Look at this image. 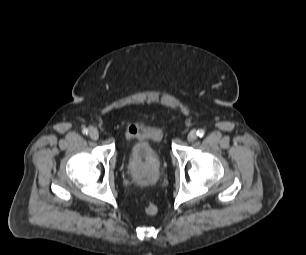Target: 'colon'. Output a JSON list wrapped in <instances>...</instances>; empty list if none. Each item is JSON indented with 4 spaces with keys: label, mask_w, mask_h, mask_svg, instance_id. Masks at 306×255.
<instances>
[{
    "label": "colon",
    "mask_w": 306,
    "mask_h": 255,
    "mask_svg": "<svg viewBox=\"0 0 306 255\" xmlns=\"http://www.w3.org/2000/svg\"><path fill=\"white\" fill-rule=\"evenodd\" d=\"M146 214L148 215H154L157 213V207L155 204L149 202L145 205V208H144Z\"/></svg>",
    "instance_id": "5ec220e1"
}]
</instances>
